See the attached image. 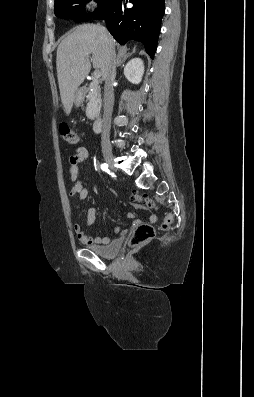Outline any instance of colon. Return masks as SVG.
I'll use <instances>...</instances> for the list:
<instances>
[{
	"instance_id": "obj_1",
	"label": "colon",
	"mask_w": 254,
	"mask_h": 397,
	"mask_svg": "<svg viewBox=\"0 0 254 397\" xmlns=\"http://www.w3.org/2000/svg\"><path fill=\"white\" fill-rule=\"evenodd\" d=\"M59 130H60V134L63 137V139L65 141H67L68 143L76 145L79 142V136L77 135V133L75 131H73L69 127L68 124L61 123L59 125ZM132 197L144 209L151 210V209L156 208L155 203L149 198H144L137 193H133ZM170 223H171V217L167 216L162 223V228L163 229L168 228ZM155 234H156V230L152 225L140 224L139 226L136 227V229L131 234V237L129 239V245L132 247L144 245L147 242H149L151 239H153Z\"/></svg>"
}]
</instances>
